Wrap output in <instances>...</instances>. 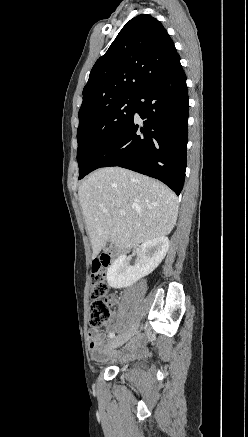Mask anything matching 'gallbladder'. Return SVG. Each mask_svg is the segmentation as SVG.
<instances>
[{"label":"gallbladder","mask_w":248,"mask_h":437,"mask_svg":"<svg viewBox=\"0 0 248 437\" xmlns=\"http://www.w3.org/2000/svg\"><path fill=\"white\" fill-rule=\"evenodd\" d=\"M112 247V245L111 244H107L106 246H105V250H108V249H110Z\"/></svg>","instance_id":"gallbladder-1"}]
</instances>
